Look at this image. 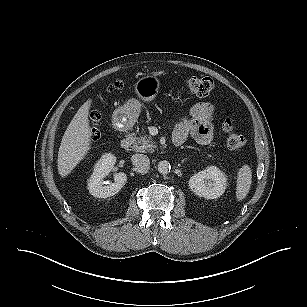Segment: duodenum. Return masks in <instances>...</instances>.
I'll use <instances>...</instances> for the list:
<instances>
[{
  "mask_svg": "<svg viewBox=\"0 0 307 307\" xmlns=\"http://www.w3.org/2000/svg\"><path fill=\"white\" fill-rule=\"evenodd\" d=\"M133 143V135L130 131H126L121 139L120 145L123 149L129 148ZM175 146L181 145V141L173 140Z\"/></svg>",
  "mask_w": 307,
  "mask_h": 307,
  "instance_id": "duodenum-1",
  "label": "duodenum"
}]
</instances>
